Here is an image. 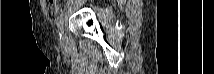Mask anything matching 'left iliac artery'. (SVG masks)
Wrapping results in <instances>:
<instances>
[{
	"label": "left iliac artery",
	"instance_id": "left-iliac-artery-1",
	"mask_svg": "<svg viewBox=\"0 0 214 74\" xmlns=\"http://www.w3.org/2000/svg\"><path fill=\"white\" fill-rule=\"evenodd\" d=\"M63 16H64V12L62 11L61 14L58 16V18L56 19L57 26H59L62 23Z\"/></svg>",
	"mask_w": 214,
	"mask_h": 74
}]
</instances>
